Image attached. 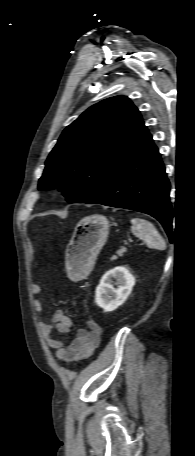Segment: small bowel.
Listing matches in <instances>:
<instances>
[{
  "label": "small bowel",
  "mask_w": 195,
  "mask_h": 456,
  "mask_svg": "<svg viewBox=\"0 0 195 456\" xmlns=\"http://www.w3.org/2000/svg\"><path fill=\"white\" fill-rule=\"evenodd\" d=\"M31 294L34 309L37 312H42L43 305L38 298L42 294V287L38 284L32 285ZM71 327V319L62 310L55 311L50 322L40 323L45 342L49 347L56 350V358L66 363L78 362L90 357L99 345L102 335L99 324L94 319H89L86 322V328L79 329L68 345L51 336L54 331L67 333Z\"/></svg>",
  "instance_id": "c3829d8e"
}]
</instances>
